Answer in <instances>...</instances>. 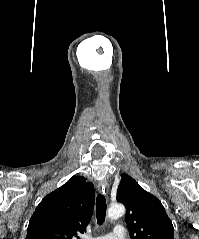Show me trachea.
<instances>
[{
  "mask_svg": "<svg viewBox=\"0 0 199 239\" xmlns=\"http://www.w3.org/2000/svg\"><path fill=\"white\" fill-rule=\"evenodd\" d=\"M106 199L104 195L98 194L96 198V215H97V223L100 225L105 220L106 215Z\"/></svg>",
  "mask_w": 199,
  "mask_h": 239,
  "instance_id": "trachea-1",
  "label": "trachea"
}]
</instances>
